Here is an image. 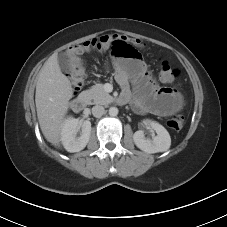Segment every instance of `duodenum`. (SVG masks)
I'll list each match as a JSON object with an SVG mask.
<instances>
[{
    "mask_svg": "<svg viewBox=\"0 0 227 227\" xmlns=\"http://www.w3.org/2000/svg\"><path fill=\"white\" fill-rule=\"evenodd\" d=\"M121 103V99L118 100ZM89 102V96L86 93L77 95L71 102V108L75 112L82 111Z\"/></svg>",
    "mask_w": 227,
    "mask_h": 227,
    "instance_id": "obj_1",
    "label": "duodenum"
}]
</instances>
